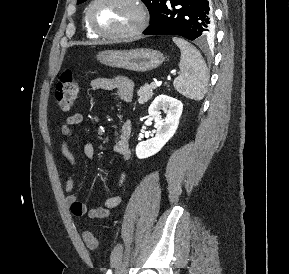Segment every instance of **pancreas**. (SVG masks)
Here are the masks:
<instances>
[{
    "label": "pancreas",
    "mask_w": 289,
    "mask_h": 274,
    "mask_svg": "<svg viewBox=\"0 0 289 274\" xmlns=\"http://www.w3.org/2000/svg\"><path fill=\"white\" fill-rule=\"evenodd\" d=\"M153 89L154 88L148 83L141 86L140 89L137 91V94L139 96L138 102L140 104L148 102V100L153 96Z\"/></svg>",
    "instance_id": "cf45deb5"
}]
</instances>
